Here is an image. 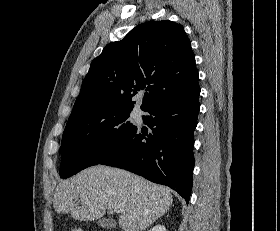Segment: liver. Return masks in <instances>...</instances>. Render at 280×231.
<instances>
[{
  "label": "liver",
  "mask_w": 280,
  "mask_h": 231,
  "mask_svg": "<svg viewBox=\"0 0 280 231\" xmlns=\"http://www.w3.org/2000/svg\"><path fill=\"white\" fill-rule=\"evenodd\" d=\"M172 201L169 187L125 169L93 165L61 181L55 189L53 205L57 213H71L81 221L100 219L106 209L113 211L120 205L124 209L119 217L123 231H143L166 213Z\"/></svg>",
  "instance_id": "obj_1"
}]
</instances>
